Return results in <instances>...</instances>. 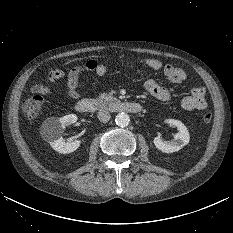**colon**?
I'll use <instances>...</instances> for the list:
<instances>
[{"label":"colon","mask_w":233,"mask_h":233,"mask_svg":"<svg viewBox=\"0 0 233 233\" xmlns=\"http://www.w3.org/2000/svg\"><path fill=\"white\" fill-rule=\"evenodd\" d=\"M43 98L40 95H34L26 100L22 104V111L28 118L37 117L42 110ZM203 122L209 124L212 121V114L207 112L203 115Z\"/></svg>","instance_id":"5ec220e1"}]
</instances>
